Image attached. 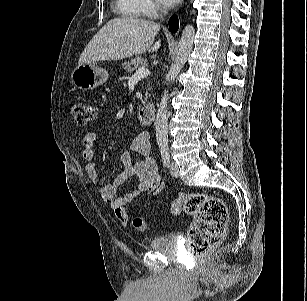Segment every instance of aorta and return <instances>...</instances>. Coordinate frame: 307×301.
Returning <instances> with one entry per match:
<instances>
[{
	"label": "aorta",
	"mask_w": 307,
	"mask_h": 301,
	"mask_svg": "<svg viewBox=\"0 0 307 301\" xmlns=\"http://www.w3.org/2000/svg\"><path fill=\"white\" fill-rule=\"evenodd\" d=\"M194 35V27L192 25H187L178 42L174 62L166 75V79L169 83L176 79L181 69L184 67L193 48ZM168 99V90H165L158 105L155 120L156 140L159 148H165L168 145Z\"/></svg>",
	"instance_id": "aorta-1"
}]
</instances>
